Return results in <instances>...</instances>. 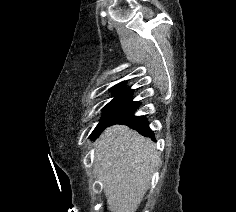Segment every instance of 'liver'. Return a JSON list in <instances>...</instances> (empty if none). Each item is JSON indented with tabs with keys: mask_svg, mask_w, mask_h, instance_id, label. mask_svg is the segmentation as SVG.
<instances>
[{
	"mask_svg": "<svg viewBox=\"0 0 236 212\" xmlns=\"http://www.w3.org/2000/svg\"><path fill=\"white\" fill-rule=\"evenodd\" d=\"M158 162L155 144L127 126L109 127L96 143L94 167L112 212H135Z\"/></svg>",
	"mask_w": 236,
	"mask_h": 212,
	"instance_id": "6515ba94",
	"label": "liver"
}]
</instances>
